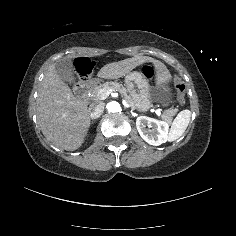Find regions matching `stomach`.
Segmentation results:
<instances>
[{
    "mask_svg": "<svg viewBox=\"0 0 236 236\" xmlns=\"http://www.w3.org/2000/svg\"><path fill=\"white\" fill-rule=\"evenodd\" d=\"M126 88L139 110H147L152 102L161 100L167 102V92L163 87L153 88L140 72L131 71L124 79Z\"/></svg>",
    "mask_w": 236,
    "mask_h": 236,
    "instance_id": "stomach-1",
    "label": "stomach"
}]
</instances>
